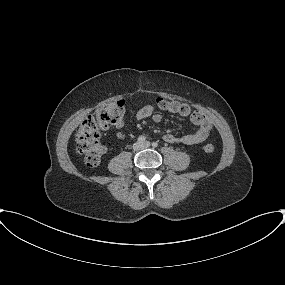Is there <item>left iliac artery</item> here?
<instances>
[{"label":"left iliac artery","instance_id":"obj_1","mask_svg":"<svg viewBox=\"0 0 285 285\" xmlns=\"http://www.w3.org/2000/svg\"><path fill=\"white\" fill-rule=\"evenodd\" d=\"M152 146H153L154 148H156V147L158 146V143H157V142H153V143H152Z\"/></svg>","mask_w":285,"mask_h":285}]
</instances>
